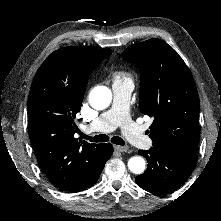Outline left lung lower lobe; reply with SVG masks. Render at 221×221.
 Listing matches in <instances>:
<instances>
[{
	"label": "left lung lower lobe",
	"instance_id": "1",
	"mask_svg": "<svg viewBox=\"0 0 221 221\" xmlns=\"http://www.w3.org/2000/svg\"><path fill=\"white\" fill-rule=\"evenodd\" d=\"M139 154L147 159L148 167L135 178L137 185L161 195L182 186L192 173L197 160L196 154L164 148L140 150Z\"/></svg>",
	"mask_w": 221,
	"mask_h": 221
}]
</instances>
